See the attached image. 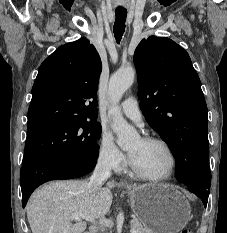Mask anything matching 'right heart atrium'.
Instances as JSON below:
<instances>
[{
  "mask_svg": "<svg viewBox=\"0 0 227 233\" xmlns=\"http://www.w3.org/2000/svg\"><path fill=\"white\" fill-rule=\"evenodd\" d=\"M98 162L104 168L111 171H121L126 164V157L117 147L113 137L102 131L98 141Z\"/></svg>",
  "mask_w": 227,
  "mask_h": 233,
  "instance_id": "right-heart-atrium-1",
  "label": "right heart atrium"
}]
</instances>
